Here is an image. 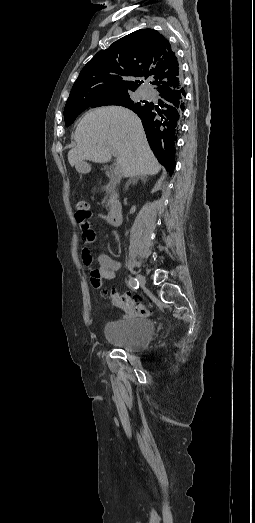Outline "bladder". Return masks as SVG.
Returning a JSON list of instances; mask_svg holds the SVG:
<instances>
[{
    "instance_id": "31cf9c89",
    "label": "bladder",
    "mask_w": 255,
    "mask_h": 523,
    "mask_svg": "<svg viewBox=\"0 0 255 523\" xmlns=\"http://www.w3.org/2000/svg\"><path fill=\"white\" fill-rule=\"evenodd\" d=\"M105 328V339L127 352L140 351L146 347L154 331V325L149 319L138 316L111 320Z\"/></svg>"
}]
</instances>
